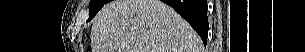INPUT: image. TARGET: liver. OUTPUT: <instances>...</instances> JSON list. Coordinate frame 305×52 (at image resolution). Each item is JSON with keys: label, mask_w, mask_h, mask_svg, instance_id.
<instances>
[{"label": "liver", "mask_w": 305, "mask_h": 52, "mask_svg": "<svg viewBox=\"0 0 305 52\" xmlns=\"http://www.w3.org/2000/svg\"><path fill=\"white\" fill-rule=\"evenodd\" d=\"M92 52H201L202 41L170 6L159 0H114L91 28Z\"/></svg>", "instance_id": "liver-1"}]
</instances>
